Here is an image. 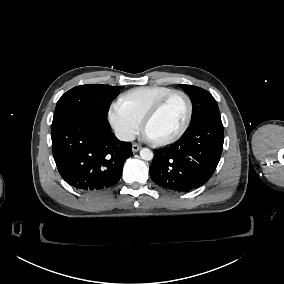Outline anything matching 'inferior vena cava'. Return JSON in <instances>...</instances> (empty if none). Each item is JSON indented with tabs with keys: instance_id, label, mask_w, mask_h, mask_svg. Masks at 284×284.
<instances>
[{
	"instance_id": "1",
	"label": "inferior vena cava",
	"mask_w": 284,
	"mask_h": 284,
	"mask_svg": "<svg viewBox=\"0 0 284 284\" xmlns=\"http://www.w3.org/2000/svg\"><path fill=\"white\" fill-rule=\"evenodd\" d=\"M115 135L119 140L122 141H133L135 140V134L124 129H118L115 131Z\"/></svg>"
}]
</instances>
